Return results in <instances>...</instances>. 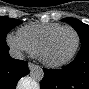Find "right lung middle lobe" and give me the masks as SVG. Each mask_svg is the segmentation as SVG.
I'll return each mask as SVG.
<instances>
[{"instance_id": "1", "label": "right lung middle lobe", "mask_w": 89, "mask_h": 89, "mask_svg": "<svg viewBox=\"0 0 89 89\" xmlns=\"http://www.w3.org/2000/svg\"><path fill=\"white\" fill-rule=\"evenodd\" d=\"M21 23L20 20L11 19L7 16L0 17V44L5 43L8 32Z\"/></svg>"}]
</instances>
